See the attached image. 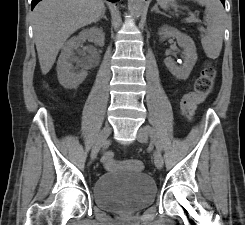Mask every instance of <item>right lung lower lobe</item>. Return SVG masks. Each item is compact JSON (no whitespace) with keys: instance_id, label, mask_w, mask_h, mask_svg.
I'll return each instance as SVG.
<instances>
[{"instance_id":"right-lung-lower-lobe-1","label":"right lung lower lobe","mask_w":245,"mask_h":225,"mask_svg":"<svg viewBox=\"0 0 245 225\" xmlns=\"http://www.w3.org/2000/svg\"><path fill=\"white\" fill-rule=\"evenodd\" d=\"M41 0H32V3H31V7L32 9L35 7V5ZM108 1H111V2H116L118 0H108Z\"/></svg>"}]
</instances>
